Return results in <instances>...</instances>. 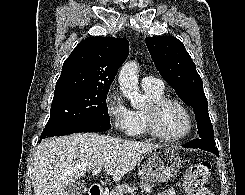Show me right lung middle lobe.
Segmentation results:
<instances>
[{
    "instance_id": "1",
    "label": "right lung middle lobe",
    "mask_w": 245,
    "mask_h": 195,
    "mask_svg": "<svg viewBox=\"0 0 245 195\" xmlns=\"http://www.w3.org/2000/svg\"><path fill=\"white\" fill-rule=\"evenodd\" d=\"M109 90L86 88L55 92L50 109V118L40 140L75 126L91 122H110L106 104Z\"/></svg>"
}]
</instances>
